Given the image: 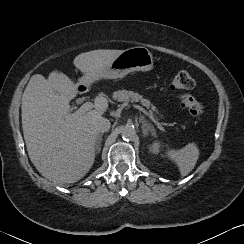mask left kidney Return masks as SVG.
Returning <instances> with one entry per match:
<instances>
[{"label":"left kidney","instance_id":"obj_1","mask_svg":"<svg viewBox=\"0 0 244 244\" xmlns=\"http://www.w3.org/2000/svg\"><path fill=\"white\" fill-rule=\"evenodd\" d=\"M160 147H161V142L160 141H154L153 144L150 147V151L153 154H158L159 150H160Z\"/></svg>","mask_w":244,"mask_h":244}]
</instances>
